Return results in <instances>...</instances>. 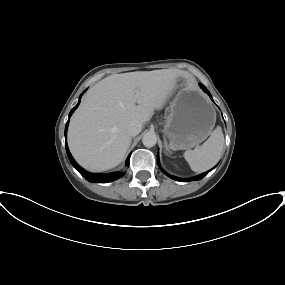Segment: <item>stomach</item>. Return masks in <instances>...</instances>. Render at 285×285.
I'll use <instances>...</instances> for the list:
<instances>
[{"label":"stomach","mask_w":285,"mask_h":285,"mask_svg":"<svg viewBox=\"0 0 285 285\" xmlns=\"http://www.w3.org/2000/svg\"><path fill=\"white\" fill-rule=\"evenodd\" d=\"M179 91L170 105L164 124V134L172 150L191 149L203 142L212 132L216 112L206 95L190 90L180 79Z\"/></svg>","instance_id":"obj_1"}]
</instances>
